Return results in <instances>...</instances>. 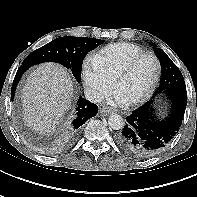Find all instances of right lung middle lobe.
<instances>
[{"instance_id":"obj_1","label":"right lung middle lobe","mask_w":197,"mask_h":197,"mask_svg":"<svg viewBox=\"0 0 197 197\" xmlns=\"http://www.w3.org/2000/svg\"><path fill=\"white\" fill-rule=\"evenodd\" d=\"M103 43V40L82 37H60L29 54L25 65L56 62L72 71L77 82L81 81L83 59L87 53Z\"/></svg>"}]
</instances>
